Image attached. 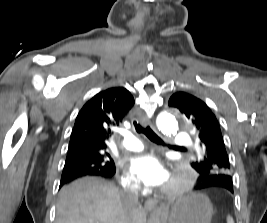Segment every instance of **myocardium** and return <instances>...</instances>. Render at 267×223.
<instances>
[{"mask_svg":"<svg viewBox=\"0 0 267 223\" xmlns=\"http://www.w3.org/2000/svg\"><path fill=\"white\" fill-rule=\"evenodd\" d=\"M175 182L164 188V193L168 196H178L189 192L197 179L195 171L186 164H181L176 168L173 176Z\"/></svg>","mask_w":267,"mask_h":223,"instance_id":"myocardium-1","label":"myocardium"}]
</instances>
